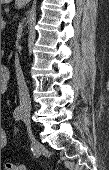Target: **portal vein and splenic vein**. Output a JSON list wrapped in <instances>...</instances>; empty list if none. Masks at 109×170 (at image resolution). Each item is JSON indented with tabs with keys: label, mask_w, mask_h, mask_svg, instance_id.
<instances>
[{
	"label": "portal vein and splenic vein",
	"mask_w": 109,
	"mask_h": 170,
	"mask_svg": "<svg viewBox=\"0 0 109 170\" xmlns=\"http://www.w3.org/2000/svg\"><path fill=\"white\" fill-rule=\"evenodd\" d=\"M5 25H6V21L1 20V29L5 28Z\"/></svg>",
	"instance_id": "portal-vein-and-splenic-vein-1"
}]
</instances>
